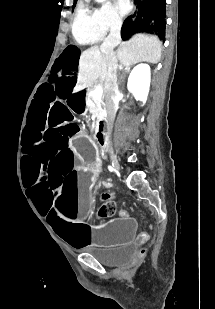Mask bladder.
Segmentation results:
<instances>
[{
	"mask_svg": "<svg viewBox=\"0 0 215 309\" xmlns=\"http://www.w3.org/2000/svg\"><path fill=\"white\" fill-rule=\"evenodd\" d=\"M135 246L132 244L125 245L113 252L97 255V259L107 266H123L132 261L135 256Z\"/></svg>",
	"mask_w": 215,
	"mask_h": 309,
	"instance_id": "1",
	"label": "bladder"
}]
</instances>
